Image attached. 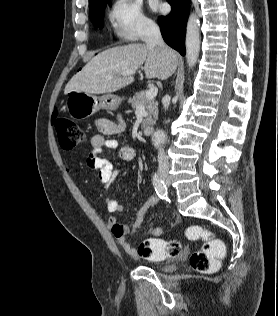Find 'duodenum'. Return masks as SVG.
<instances>
[{"label":"duodenum","instance_id":"1","mask_svg":"<svg viewBox=\"0 0 278 316\" xmlns=\"http://www.w3.org/2000/svg\"><path fill=\"white\" fill-rule=\"evenodd\" d=\"M154 132V127L153 126H146L144 129H143V133L147 136L149 135H152Z\"/></svg>","mask_w":278,"mask_h":316}]
</instances>
